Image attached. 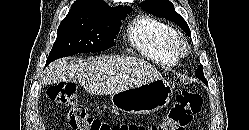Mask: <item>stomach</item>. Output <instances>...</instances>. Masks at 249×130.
<instances>
[{"mask_svg":"<svg viewBox=\"0 0 249 130\" xmlns=\"http://www.w3.org/2000/svg\"><path fill=\"white\" fill-rule=\"evenodd\" d=\"M173 97V86L164 79L114 93L111 102L115 109L127 114H151L166 107Z\"/></svg>","mask_w":249,"mask_h":130,"instance_id":"0dacf381","label":"stomach"}]
</instances>
